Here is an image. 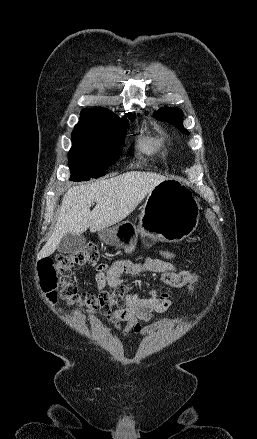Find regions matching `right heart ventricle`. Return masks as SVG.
I'll list each match as a JSON object with an SVG mask.
<instances>
[{
	"label": "right heart ventricle",
	"mask_w": 257,
	"mask_h": 439,
	"mask_svg": "<svg viewBox=\"0 0 257 439\" xmlns=\"http://www.w3.org/2000/svg\"><path fill=\"white\" fill-rule=\"evenodd\" d=\"M164 144V137L147 139L142 143V148L146 152L158 151Z\"/></svg>",
	"instance_id": "e07e8e85"
}]
</instances>
